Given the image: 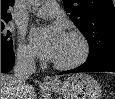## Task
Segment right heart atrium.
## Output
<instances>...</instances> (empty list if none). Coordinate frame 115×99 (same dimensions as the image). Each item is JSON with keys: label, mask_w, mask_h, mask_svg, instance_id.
<instances>
[{"label": "right heart atrium", "mask_w": 115, "mask_h": 99, "mask_svg": "<svg viewBox=\"0 0 115 99\" xmlns=\"http://www.w3.org/2000/svg\"><path fill=\"white\" fill-rule=\"evenodd\" d=\"M17 59L23 64H32L34 55L29 46L20 41L16 50Z\"/></svg>", "instance_id": "d8ad5b80"}]
</instances>
